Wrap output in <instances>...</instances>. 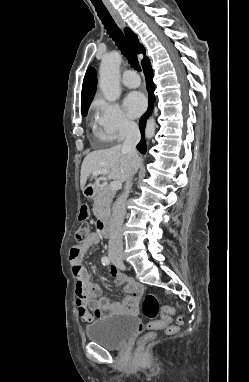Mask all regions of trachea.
<instances>
[{"instance_id": "3493384b", "label": "trachea", "mask_w": 249, "mask_h": 382, "mask_svg": "<svg viewBox=\"0 0 249 382\" xmlns=\"http://www.w3.org/2000/svg\"><path fill=\"white\" fill-rule=\"evenodd\" d=\"M95 10L97 12L98 17L102 21L107 33L112 38V40L116 43L121 53L126 57L131 66L140 71V65L138 61L137 54L129 43L128 39L119 29L107 8L104 6L102 2H95L91 0Z\"/></svg>"}]
</instances>
